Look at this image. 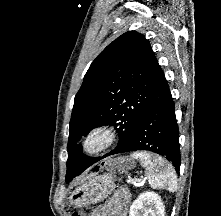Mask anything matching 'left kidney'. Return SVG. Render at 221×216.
Masks as SVG:
<instances>
[{
  "label": "left kidney",
  "instance_id": "1",
  "mask_svg": "<svg viewBox=\"0 0 221 216\" xmlns=\"http://www.w3.org/2000/svg\"><path fill=\"white\" fill-rule=\"evenodd\" d=\"M129 216H165V207L157 193L147 191L132 203Z\"/></svg>",
  "mask_w": 221,
  "mask_h": 216
}]
</instances>
